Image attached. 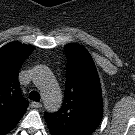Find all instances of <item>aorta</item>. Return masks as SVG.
I'll list each match as a JSON object with an SVG mask.
<instances>
[{"mask_svg":"<svg viewBox=\"0 0 135 135\" xmlns=\"http://www.w3.org/2000/svg\"><path fill=\"white\" fill-rule=\"evenodd\" d=\"M33 81L43 92L44 107L49 113L57 112L62 104V97L58 88L53 84L50 71L43 65L34 67Z\"/></svg>","mask_w":135,"mask_h":135,"instance_id":"obj_1","label":"aorta"}]
</instances>
